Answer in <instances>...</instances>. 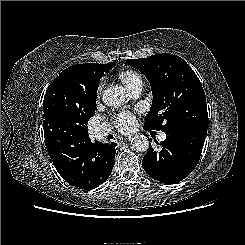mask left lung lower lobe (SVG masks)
Wrapping results in <instances>:
<instances>
[{
  "instance_id": "0a47b994",
  "label": "left lung lower lobe",
  "mask_w": 245,
  "mask_h": 245,
  "mask_svg": "<svg viewBox=\"0 0 245 245\" xmlns=\"http://www.w3.org/2000/svg\"><path fill=\"white\" fill-rule=\"evenodd\" d=\"M144 129L151 130L145 126ZM206 133L205 129L194 128L167 135L160 144V150L149 146L142 161L143 168L152 178L164 184L180 182L196 167Z\"/></svg>"
}]
</instances>
